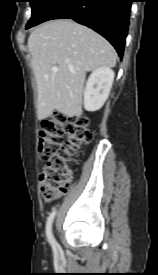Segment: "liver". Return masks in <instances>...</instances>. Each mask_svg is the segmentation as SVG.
<instances>
[{"instance_id":"6515ba94","label":"liver","mask_w":158,"mask_h":275,"mask_svg":"<svg viewBox=\"0 0 158 275\" xmlns=\"http://www.w3.org/2000/svg\"><path fill=\"white\" fill-rule=\"evenodd\" d=\"M31 65L38 92V119L58 111L81 116L86 72L114 67L112 45L93 30L69 19L48 21L28 38ZM53 67H58L54 72Z\"/></svg>"}]
</instances>
